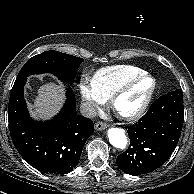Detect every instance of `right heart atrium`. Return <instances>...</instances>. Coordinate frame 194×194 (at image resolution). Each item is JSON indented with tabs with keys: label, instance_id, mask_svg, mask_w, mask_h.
I'll return each mask as SVG.
<instances>
[{
	"label": "right heart atrium",
	"instance_id": "right-heart-atrium-1",
	"mask_svg": "<svg viewBox=\"0 0 194 194\" xmlns=\"http://www.w3.org/2000/svg\"><path fill=\"white\" fill-rule=\"evenodd\" d=\"M78 92L81 97L83 110L88 116L92 115L105 103V100L97 92L92 79L86 75H83L79 80Z\"/></svg>",
	"mask_w": 194,
	"mask_h": 194
}]
</instances>
